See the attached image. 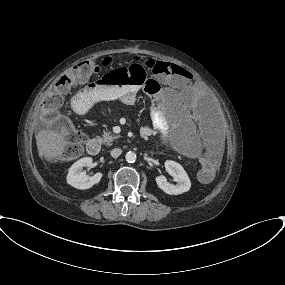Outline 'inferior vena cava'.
Listing matches in <instances>:
<instances>
[{
    "mask_svg": "<svg viewBox=\"0 0 285 285\" xmlns=\"http://www.w3.org/2000/svg\"><path fill=\"white\" fill-rule=\"evenodd\" d=\"M111 156L116 158L119 157L122 154V150L120 148H114L111 150Z\"/></svg>",
    "mask_w": 285,
    "mask_h": 285,
    "instance_id": "obj_1",
    "label": "inferior vena cava"
}]
</instances>
